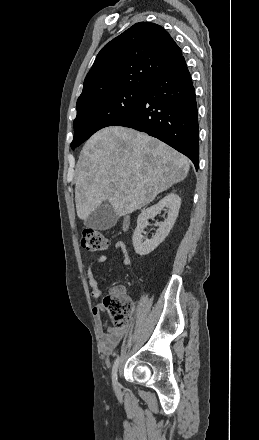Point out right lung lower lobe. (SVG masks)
Returning <instances> with one entry per match:
<instances>
[{"mask_svg": "<svg viewBox=\"0 0 259 440\" xmlns=\"http://www.w3.org/2000/svg\"><path fill=\"white\" fill-rule=\"evenodd\" d=\"M113 126L145 132L183 153L199 166L195 90L184 57L156 78L137 106Z\"/></svg>", "mask_w": 259, "mask_h": 440, "instance_id": "98d812e1", "label": "right lung lower lobe"}]
</instances>
